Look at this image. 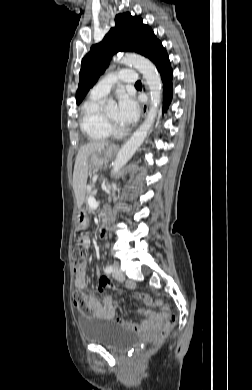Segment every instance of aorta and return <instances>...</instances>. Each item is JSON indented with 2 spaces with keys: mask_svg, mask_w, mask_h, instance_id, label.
<instances>
[{
  "mask_svg": "<svg viewBox=\"0 0 252 390\" xmlns=\"http://www.w3.org/2000/svg\"><path fill=\"white\" fill-rule=\"evenodd\" d=\"M116 60L121 63L132 65L143 75L150 90L151 105L142 125L118 152L113 164V175L119 172L145 140L148 131L155 121L162 90L161 78L156 67L145 57L137 54H126L118 56ZM108 103L113 104L112 101H109Z\"/></svg>",
  "mask_w": 252,
  "mask_h": 390,
  "instance_id": "762f6f07",
  "label": "aorta"
}]
</instances>
